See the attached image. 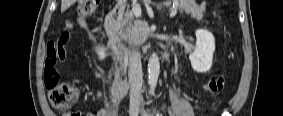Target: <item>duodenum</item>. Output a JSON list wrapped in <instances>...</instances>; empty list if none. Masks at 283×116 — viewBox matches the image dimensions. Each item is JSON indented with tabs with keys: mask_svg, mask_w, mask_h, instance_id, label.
Masks as SVG:
<instances>
[{
	"mask_svg": "<svg viewBox=\"0 0 283 116\" xmlns=\"http://www.w3.org/2000/svg\"><path fill=\"white\" fill-rule=\"evenodd\" d=\"M124 10L125 6L123 4L116 5L113 9L109 11L104 23L108 39V46L115 54L116 59L120 64H126L130 60V54L123 50L116 35L117 25L123 15ZM126 84L127 81L125 79L120 80L118 83L120 87H125Z\"/></svg>",
	"mask_w": 283,
	"mask_h": 116,
	"instance_id": "obj_1",
	"label": "duodenum"
}]
</instances>
